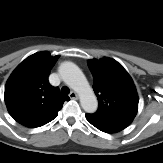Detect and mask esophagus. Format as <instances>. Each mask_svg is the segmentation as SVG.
Segmentation results:
<instances>
[{
	"label": "esophagus",
	"mask_w": 163,
	"mask_h": 163,
	"mask_svg": "<svg viewBox=\"0 0 163 163\" xmlns=\"http://www.w3.org/2000/svg\"><path fill=\"white\" fill-rule=\"evenodd\" d=\"M69 97L71 99H78V95L75 91H71L70 94H69Z\"/></svg>",
	"instance_id": "obj_1"
}]
</instances>
